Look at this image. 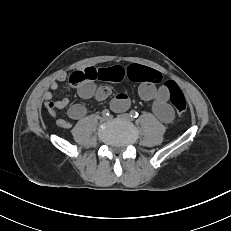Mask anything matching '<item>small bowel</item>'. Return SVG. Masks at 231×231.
I'll use <instances>...</instances> for the list:
<instances>
[{"label": "small bowel", "instance_id": "small-bowel-1", "mask_svg": "<svg viewBox=\"0 0 231 231\" xmlns=\"http://www.w3.org/2000/svg\"><path fill=\"white\" fill-rule=\"evenodd\" d=\"M139 65H133L128 68L122 66L112 67H95L88 66L80 72L84 76V81L78 86L77 92L83 99L95 98L97 101H103L107 99L111 90L108 86L96 87L95 80L102 81H121L125 77H129L140 82L138 87V93L142 100L151 102L152 110L156 117L164 123H170L173 119V109L169 104L170 96L169 91L164 85L159 87L153 83L145 80H138V68ZM66 74H60L57 77V81L50 83L49 90L44 94L45 106L52 115H55L56 109H62L68 106L69 100L63 98L59 101H53V91L59 87L58 81H65ZM130 105L129 98L126 94H118L111 103L114 111L120 112L126 110ZM67 114L70 119L80 120L87 114V109L82 104H73L68 107ZM57 125L61 128L68 129L71 127V122L58 119Z\"/></svg>", "mask_w": 231, "mask_h": 231}]
</instances>
